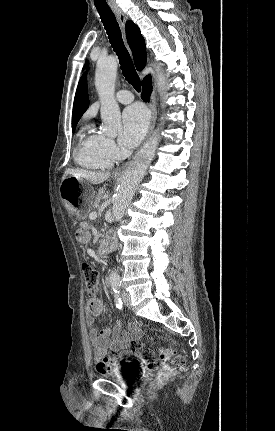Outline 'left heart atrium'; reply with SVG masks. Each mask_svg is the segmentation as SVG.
<instances>
[{
    "mask_svg": "<svg viewBox=\"0 0 275 431\" xmlns=\"http://www.w3.org/2000/svg\"><path fill=\"white\" fill-rule=\"evenodd\" d=\"M148 127V114L139 104L125 109L122 115L120 144L127 149L134 148L144 137Z\"/></svg>",
    "mask_w": 275,
    "mask_h": 431,
    "instance_id": "39dd6f15",
    "label": "left heart atrium"
}]
</instances>
